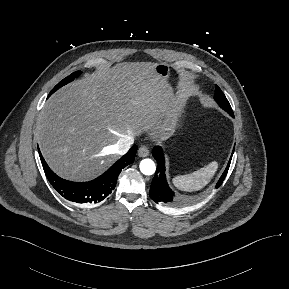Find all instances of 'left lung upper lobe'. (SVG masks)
<instances>
[{"label": "left lung upper lobe", "instance_id": "obj_1", "mask_svg": "<svg viewBox=\"0 0 289 289\" xmlns=\"http://www.w3.org/2000/svg\"><path fill=\"white\" fill-rule=\"evenodd\" d=\"M215 100L216 102L224 109L228 110V108H231L227 98L221 91V89L216 85V91H215Z\"/></svg>", "mask_w": 289, "mask_h": 289}]
</instances>
